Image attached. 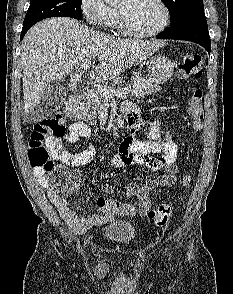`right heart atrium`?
Returning a JSON list of instances; mask_svg holds the SVG:
<instances>
[{
    "instance_id": "d8ad5b80",
    "label": "right heart atrium",
    "mask_w": 233,
    "mask_h": 294,
    "mask_svg": "<svg viewBox=\"0 0 233 294\" xmlns=\"http://www.w3.org/2000/svg\"><path fill=\"white\" fill-rule=\"evenodd\" d=\"M80 11L94 27L107 29L113 26L114 10L104 0H81Z\"/></svg>"
}]
</instances>
